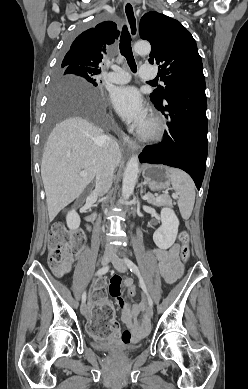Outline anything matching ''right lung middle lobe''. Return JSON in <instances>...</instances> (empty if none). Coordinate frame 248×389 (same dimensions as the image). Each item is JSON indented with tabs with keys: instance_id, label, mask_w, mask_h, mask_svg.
Masks as SVG:
<instances>
[{
	"instance_id": "right-lung-middle-lobe-1",
	"label": "right lung middle lobe",
	"mask_w": 248,
	"mask_h": 389,
	"mask_svg": "<svg viewBox=\"0 0 248 389\" xmlns=\"http://www.w3.org/2000/svg\"><path fill=\"white\" fill-rule=\"evenodd\" d=\"M98 74L100 72L96 70L62 63L58 65L54 80L57 86L80 83L91 88L98 86ZM73 114L84 115L94 121H99L103 116L99 104L93 105L81 100L68 102L53 100L49 107V129L55 122Z\"/></svg>"
}]
</instances>
